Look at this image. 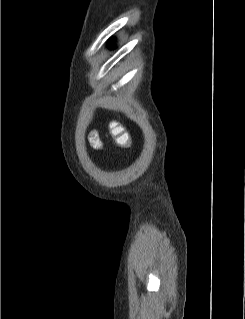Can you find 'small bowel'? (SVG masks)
Segmentation results:
<instances>
[{
    "mask_svg": "<svg viewBox=\"0 0 245 319\" xmlns=\"http://www.w3.org/2000/svg\"><path fill=\"white\" fill-rule=\"evenodd\" d=\"M92 142H93V145L96 147V148H101L102 145H101V142L99 141V139L97 138L96 134H92Z\"/></svg>",
    "mask_w": 245,
    "mask_h": 319,
    "instance_id": "obj_1",
    "label": "small bowel"
}]
</instances>
